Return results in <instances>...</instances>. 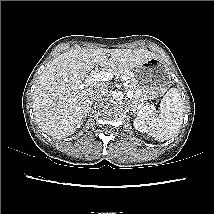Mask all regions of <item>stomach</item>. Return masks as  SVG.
Wrapping results in <instances>:
<instances>
[{"instance_id": "obj_1", "label": "stomach", "mask_w": 214, "mask_h": 214, "mask_svg": "<svg viewBox=\"0 0 214 214\" xmlns=\"http://www.w3.org/2000/svg\"><path fill=\"white\" fill-rule=\"evenodd\" d=\"M135 78L138 91L134 99L138 102L163 96L173 84L169 65L156 56L136 68Z\"/></svg>"}]
</instances>
